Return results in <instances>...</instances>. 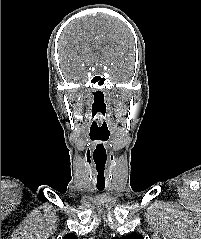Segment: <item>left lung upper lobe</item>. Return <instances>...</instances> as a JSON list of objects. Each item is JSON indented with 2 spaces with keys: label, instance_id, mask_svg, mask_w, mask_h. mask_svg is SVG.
Wrapping results in <instances>:
<instances>
[{
  "label": "left lung upper lobe",
  "instance_id": "obj_1",
  "mask_svg": "<svg viewBox=\"0 0 201 239\" xmlns=\"http://www.w3.org/2000/svg\"><path fill=\"white\" fill-rule=\"evenodd\" d=\"M112 239H144V237L141 234L133 233L123 237H114Z\"/></svg>",
  "mask_w": 201,
  "mask_h": 239
}]
</instances>
